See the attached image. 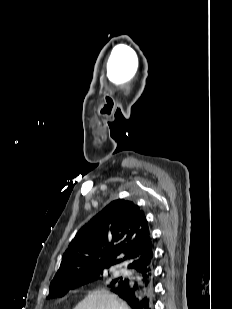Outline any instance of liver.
<instances>
[{"label": "liver", "instance_id": "obj_1", "mask_svg": "<svg viewBox=\"0 0 232 309\" xmlns=\"http://www.w3.org/2000/svg\"><path fill=\"white\" fill-rule=\"evenodd\" d=\"M74 309H130L115 294L107 290H96L89 293Z\"/></svg>", "mask_w": 232, "mask_h": 309}]
</instances>
